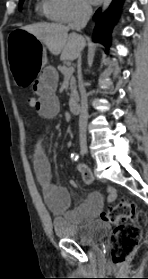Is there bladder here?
I'll use <instances>...</instances> for the list:
<instances>
[{"label":"bladder","instance_id":"bladder-1","mask_svg":"<svg viewBox=\"0 0 148 279\" xmlns=\"http://www.w3.org/2000/svg\"><path fill=\"white\" fill-rule=\"evenodd\" d=\"M52 225L59 238L85 246H91L102 240L109 231L108 224L101 220L90 221L87 224H75L67 217H56L53 219Z\"/></svg>","mask_w":148,"mask_h":279}]
</instances>
